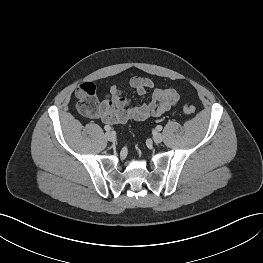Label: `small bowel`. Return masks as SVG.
I'll return each instance as SVG.
<instances>
[{
	"label": "small bowel",
	"instance_id": "1",
	"mask_svg": "<svg viewBox=\"0 0 263 263\" xmlns=\"http://www.w3.org/2000/svg\"><path fill=\"white\" fill-rule=\"evenodd\" d=\"M128 84L138 95H145L151 91V100L134 106L122 88L113 85L106 98L97 104L95 111L90 113L89 117L108 124L144 121L149 117H160L174 108L179 101V94L174 88H158L148 78L133 76Z\"/></svg>",
	"mask_w": 263,
	"mask_h": 263
}]
</instances>
